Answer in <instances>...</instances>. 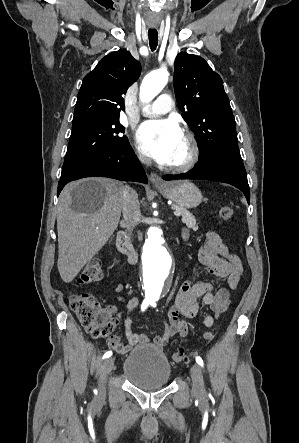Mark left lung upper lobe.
Wrapping results in <instances>:
<instances>
[{
	"instance_id": "1",
	"label": "left lung upper lobe",
	"mask_w": 299,
	"mask_h": 443,
	"mask_svg": "<svg viewBox=\"0 0 299 443\" xmlns=\"http://www.w3.org/2000/svg\"><path fill=\"white\" fill-rule=\"evenodd\" d=\"M174 90L179 110L199 142V160L214 154L241 157L236 123L222 79L203 58L177 55Z\"/></svg>"
}]
</instances>
